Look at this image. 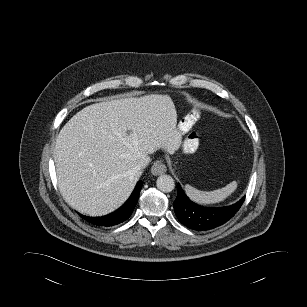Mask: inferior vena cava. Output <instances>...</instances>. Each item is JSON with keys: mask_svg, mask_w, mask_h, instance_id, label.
I'll list each match as a JSON object with an SVG mask.
<instances>
[{"mask_svg": "<svg viewBox=\"0 0 307 307\" xmlns=\"http://www.w3.org/2000/svg\"><path fill=\"white\" fill-rule=\"evenodd\" d=\"M150 162L149 157H143L142 159L139 160L138 164L136 165V169L138 171H141L143 168H145L148 163Z\"/></svg>", "mask_w": 307, "mask_h": 307, "instance_id": "1", "label": "inferior vena cava"}]
</instances>
